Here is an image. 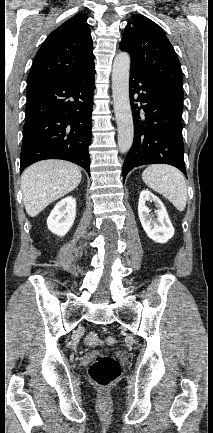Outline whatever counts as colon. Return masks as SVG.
I'll list each match as a JSON object with an SVG mask.
<instances>
[{
    "mask_svg": "<svg viewBox=\"0 0 213 433\" xmlns=\"http://www.w3.org/2000/svg\"><path fill=\"white\" fill-rule=\"evenodd\" d=\"M107 346H114L116 339L108 336L104 340ZM120 363L112 356H97L89 367V377L101 389L110 387L120 376Z\"/></svg>",
    "mask_w": 213,
    "mask_h": 433,
    "instance_id": "colon-1",
    "label": "colon"
}]
</instances>
